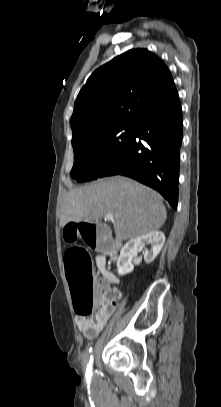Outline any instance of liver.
Returning a JSON list of instances; mask_svg holds the SVG:
<instances>
[{
	"label": "liver",
	"instance_id": "liver-1",
	"mask_svg": "<svg viewBox=\"0 0 221 407\" xmlns=\"http://www.w3.org/2000/svg\"><path fill=\"white\" fill-rule=\"evenodd\" d=\"M106 214H113L115 234L120 240L157 231L167 218L158 193L132 179L114 176L70 190L62 205L60 224L98 223Z\"/></svg>",
	"mask_w": 221,
	"mask_h": 407
}]
</instances>
